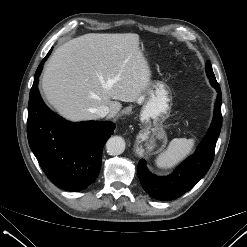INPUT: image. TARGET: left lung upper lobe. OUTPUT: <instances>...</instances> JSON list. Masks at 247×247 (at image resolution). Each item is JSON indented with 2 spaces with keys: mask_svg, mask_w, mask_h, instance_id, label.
I'll return each mask as SVG.
<instances>
[{
  "mask_svg": "<svg viewBox=\"0 0 247 247\" xmlns=\"http://www.w3.org/2000/svg\"><path fill=\"white\" fill-rule=\"evenodd\" d=\"M205 66H206V73H207L208 78L210 79V82L211 83H218L216 81L215 75L213 73V70H212V66H211L210 61H207V63H206Z\"/></svg>",
  "mask_w": 247,
  "mask_h": 247,
  "instance_id": "5c2ea615",
  "label": "left lung upper lobe"
}]
</instances>
